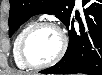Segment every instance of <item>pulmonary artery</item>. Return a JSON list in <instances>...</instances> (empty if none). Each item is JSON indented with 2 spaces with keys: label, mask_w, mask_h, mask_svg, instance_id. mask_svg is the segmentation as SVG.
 <instances>
[{
  "label": "pulmonary artery",
  "mask_w": 102,
  "mask_h": 75,
  "mask_svg": "<svg viewBox=\"0 0 102 75\" xmlns=\"http://www.w3.org/2000/svg\"><path fill=\"white\" fill-rule=\"evenodd\" d=\"M81 3H82V0H76L77 5H81Z\"/></svg>",
  "instance_id": "pulmonary-artery-1"
}]
</instances>
